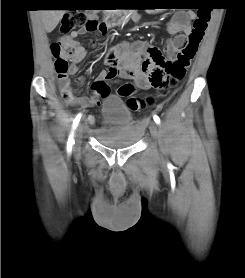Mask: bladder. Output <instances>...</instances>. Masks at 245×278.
Segmentation results:
<instances>
[{"label":"bladder","mask_w":245,"mask_h":278,"mask_svg":"<svg viewBox=\"0 0 245 278\" xmlns=\"http://www.w3.org/2000/svg\"><path fill=\"white\" fill-rule=\"evenodd\" d=\"M131 111L121 96L105 97L102 104L104 125L100 128L98 139L106 146L116 149L134 146L141 134Z\"/></svg>","instance_id":"obj_1"}]
</instances>
